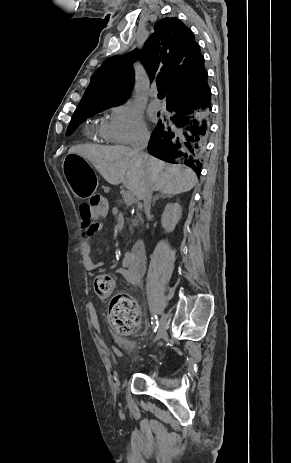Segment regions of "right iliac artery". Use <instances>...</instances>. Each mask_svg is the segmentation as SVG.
Wrapping results in <instances>:
<instances>
[{
  "instance_id": "right-iliac-artery-1",
  "label": "right iliac artery",
  "mask_w": 291,
  "mask_h": 463,
  "mask_svg": "<svg viewBox=\"0 0 291 463\" xmlns=\"http://www.w3.org/2000/svg\"><path fill=\"white\" fill-rule=\"evenodd\" d=\"M152 321H151V324L153 326V330L154 332H156L157 328H158V319H157V316L154 315L152 318Z\"/></svg>"
}]
</instances>
